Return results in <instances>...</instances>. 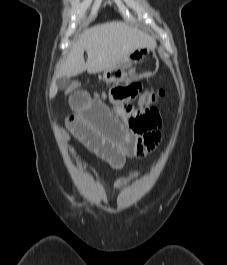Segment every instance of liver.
Masks as SVG:
<instances>
[{"mask_svg": "<svg viewBox=\"0 0 227 265\" xmlns=\"http://www.w3.org/2000/svg\"><path fill=\"white\" fill-rule=\"evenodd\" d=\"M155 45L154 37L122 21L98 24L85 30L73 44L65 61L57 68L50 87V98L57 93L58 78L74 77L86 70L89 74H95L111 69L136 49L153 48ZM84 51L88 55L86 62Z\"/></svg>", "mask_w": 227, "mask_h": 265, "instance_id": "liver-1", "label": "liver"}]
</instances>
